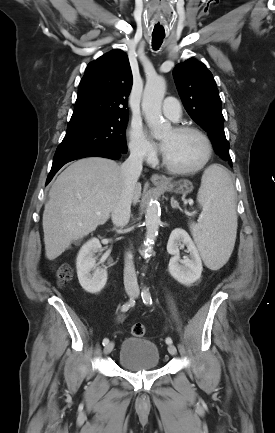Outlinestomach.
<instances>
[{
	"label": "stomach",
	"mask_w": 275,
	"mask_h": 433,
	"mask_svg": "<svg viewBox=\"0 0 275 433\" xmlns=\"http://www.w3.org/2000/svg\"><path fill=\"white\" fill-rule=\"evenodd\" d=\"M158 187L163 190L174 192L177 194H188L193 190V186L191 182L188 180H180L175 183H170L168 185L158 186Z\"/></svg>",
	"instance_id": "1"
}]
</instances>
